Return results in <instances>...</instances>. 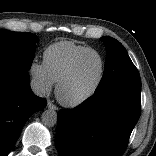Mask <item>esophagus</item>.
Instances as JSON below:
<instances>
[{
    "instance_id": "obj_1",
    "label": "esophagus",
    "mask_w": 156,
    "mask_h": 156,
    "mask_svg": "<svg viewBox=\"0 0 156 156\" xmlns=\"http://www.w3.org/2000/svg\"><path fill=\"white\" fill-rule=\"evenodd\" d=\"M47 107H48L49 109H51V110H57V109H58L57 106L54 105L51 101H48V102H47Z\"/></svg>"
}]
</instances>
